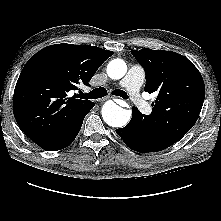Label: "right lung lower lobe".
I'll use <instances>...</instances> for the list:
<instances>
[{
  "label": "right lung lower lobe",
  "instance_id": "obj_1",
  "mask_svg": "<svg viewBox=\"0 0 221 221\" xmlns=\"http://www.w3.org/2000/svg\"><path fill=\"white\" fill-rule=\"evenodd\" d=\"M85 116L80 121H78L73 127H71L68 131L58 136L57 138L45 143L41 147L48 151H57L70 145L78 135Z\"/></svg>",
  "mask_w": 221,
  "mask_h": 221
}]
</instances>
